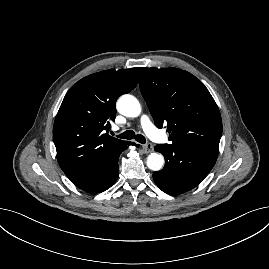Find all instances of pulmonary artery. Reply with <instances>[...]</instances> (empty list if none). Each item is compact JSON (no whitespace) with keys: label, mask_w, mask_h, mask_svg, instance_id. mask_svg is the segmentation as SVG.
<instances>
[{"label":"pulmonary artery","mask_w":269,"mask_h":269,"mask_svg":"<svg viewBox=\"0 0 269 269\" xmlns=\"http://www.w3.org/2000/svg\"><path fill=\"white\" fill-rule=\"evenodd\" d=\"M140 123L145 131V133L154 141H161L163 139V135L161 132L154 126L151 122L150 118L147 115H142L140 118Z\"/></svg>","instance_id":"1"}]
</instances>
